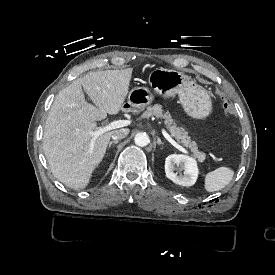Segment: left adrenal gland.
<instances>
[{
    "label": "left adrenal gland",
    "instance_id": "1",
    "mask_svg": "<svg viewBox=\"0 0 275 275\" xmlns=\"http://www.w3.org/2000/svg\"><path fill=\"white\" fill-rule=\"evenodd\" d=\"M157 144H158V146L164 145V144L161 142V139H160V138H157Z\"/></svg>",
    "mask_w": 275,
    "mask_h": 275
}]
</instances>
